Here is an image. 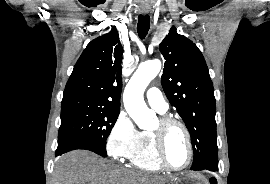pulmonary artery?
<instances>
[{"instance_id":"obj_1","label":"pulmonary artery","mask_w":270,"mask_h":184,"mask_svg":"<svg viewBox=\"0 0 270 184\" xmlns=\"http://www.w3.org/2000/svg\"><path fill=\"white\" fill-rule=\"evenodd\" d=\"M146 98L149 105L157 112L165 113L168 110V103L158 88H149L146 92Z\"/></svg>"}]
</instances>
